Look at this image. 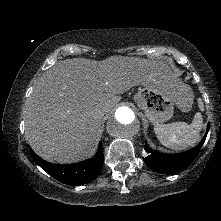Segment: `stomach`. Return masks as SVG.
Here are the masks:
<instances>
[{"mask_svg":"<svg viewBox=\"0 0 221 221\" xmlns=\"http://www.w3.org/2000/svg\"><path fill=\"white\" fill-rule=\"evenodd\" d=\"M137 106L152 124H160L173 116L174 106L188 111L192 105V92L179 80L171 77L165 83H150L134 95Z\"/></svg>","mask_w":221,"mask_h":221,"instance_id":"1","label":"stomach"}]
</instances>
